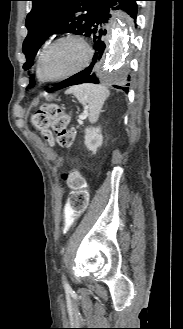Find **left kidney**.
<instances>
[{"instance_id": "1", "label": "left kidney", "mask_w": 183, "mask_h": 329, "mask_svg": "<svg viewBox=\"0 0 183 329\" xmlns=\"http://www.w3.org/2000/svg\"><path fill=\"white\" fill-rule=\"evenodd\" d=\"M85 145L93 154L96 153L98 147L102 145L103 136L100 127H90L85 130Z\"/></svg>"}]
</instances>
